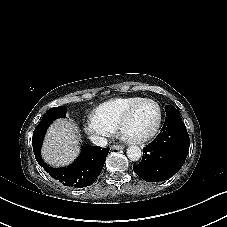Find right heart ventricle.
<instances>
[{"instance_id":"e07e8e85","label":"right heart ventricle","mask_w":227,"mask_h":227,"mask_svg":"<svg viewBox=\"0 0 227 227\" xmlns=\"http://www.w3.org/2000/svg\"><path fill=\"white\" fill-rule=\"evenodd\" d=\"M139 101L140 98L111 99L96 108L92 123L112 131L126 111Z\"/></svg>"}]
</instances>
